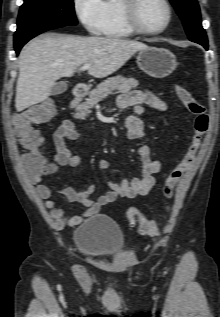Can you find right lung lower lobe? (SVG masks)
I'll use <instances>...</instances> for the list:
<instances>
[{
  "instance_id": "right-lung-lower-lobe-1",
  "label": "right lung lower lobe",
  "mask_w": 220,
  "mask_h": 317,
  "mask_svg": "<svg viewBox=\"0 0 220 317\" xmlns=\"http://www.w3.org/2000/svg\"><path fill=\"white\" fill-rule=\"evenodd\" d=\"M63 26L64 25H49V26L40 27V28H37V29L30 31L28 34L21 37L20 39H14V46H15L16 53L18 54L20 49L22 48V46L26 42H28L30 39L37 36L38 34L43 33L47 30H51V29H55V28H59V27H63Z\"/></svg>"
}]
</instances>
